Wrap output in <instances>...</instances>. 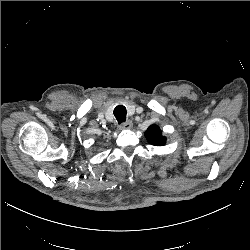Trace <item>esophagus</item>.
I'll use <instances>...</instances> for the list:
<instances>
[{
    "label": "esophagus",
    "instance_id": "34e87169",
    "mask_svg": "<svg viewBox=\"0 0 250 250\" xmlns=\"http://www.w3.org/2000/svg\"><path fill=\"white\" fill-rule=\"evenodd\" d=\"M132 126H133V123H132V121L129 120V121H126V122L120 124L119 129L120 130L131 129Z\"/></svg>",
    "mask_w": 250,
    "mask_h": 250
}]
</instances>
